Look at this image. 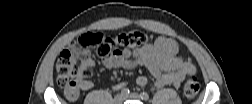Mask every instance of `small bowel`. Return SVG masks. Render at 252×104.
Instances as JSON below:
<instances>
[{
    "mask_svg": "<svg viewBox=\"0 0 252 104\" xmlns=\"http://www.w3.org/2000/svg\"><path fill=\"white\" fill-rule=\"evenodd\" d=\"M177 53L176 41L167 37H158L154 43L143 45L133 51L128 49L115 51L103 61V65L108 69H133L143 66L155 78L157 88L168 85L179 88L187 75L196 73V67L184 57L178 56ZM84 63L90 68L95 65L90 58L85 59ZM147 83L146 76H139L136 79V84L140 87L146 86ZM93 86L94 83L88 79L81 80L79 85L80 89L84 91L90 90ZM125 86L126 82H119L113 86V89L118 91Z\"/></svg>",
    "mask_w": 252,
    "mask_h": 104,
    "instance_id": "small-bowel-1",
    "label": "small bowel"
}]
</instances>
